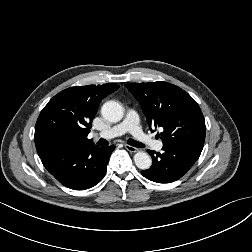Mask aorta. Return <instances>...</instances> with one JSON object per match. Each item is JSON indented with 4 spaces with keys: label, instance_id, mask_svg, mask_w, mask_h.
<instances>
[{
    "label": "aorta",
    "instance_id": "762f6f07",
    "mask_svg": "<svg viewBox=\"0 0 252 252\" xmlns=\"http://www.w3.org/2000/svg\"><path fill=\"white\" fill-rule=\"evenodd\" d=\"M103 118L109 122L116 123L123 117V108L120 103L116 101H107L101 108ZM135 165L142 170L150 168L152 164L151 157L143 151H139L134 155Z\"/></svg>",
    "mask_w": 252,
    "mask_h": 252
}]
</instances>
